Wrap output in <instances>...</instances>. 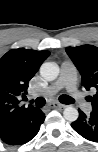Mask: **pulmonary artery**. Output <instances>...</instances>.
<instances>
[{
  "label": "pulmonary artery",
  "mask_w": 98,
  "mask_h": 152,
  "mask_svg": "<svg viewBox=\"0 0 98 152\" xmlns=\"http://www.w3.org/2000/svg\"><path fill=\"white\" fill-rule=\"evenodd\" d=\"M62 88H65L70 97L84 110L90 109L89 102L85 100L84 96L77 88V78L75 76L73 67L67 62H64L61 65L59 78L53 84L45 88L42 91V94L50 96L57 93Z\"/></svg>",
  "instance_id": "e3ab8cb5"
}]
</instances>
